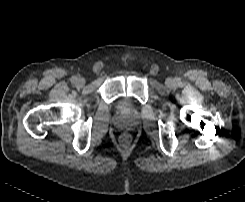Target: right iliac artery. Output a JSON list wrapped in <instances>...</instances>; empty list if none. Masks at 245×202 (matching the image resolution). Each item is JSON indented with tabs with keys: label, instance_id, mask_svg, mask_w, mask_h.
<instances>
[{
	"label": "right iliac artery",
	"instance_id": "1",
	"mask_svg": "<svg viewBox=\"0 0 245 202\" xmlns=\"http://www.w3.org/2000/svg\"><path fill=\"white\" fill-rule=\"evenodd\" d=\"M71 81H72L73 83H75V82L77 81V77H76V76H72V77H71Z\"/></svg>",
	"mask_w": 245,
	"mask_h": 202
}]
</instances>
